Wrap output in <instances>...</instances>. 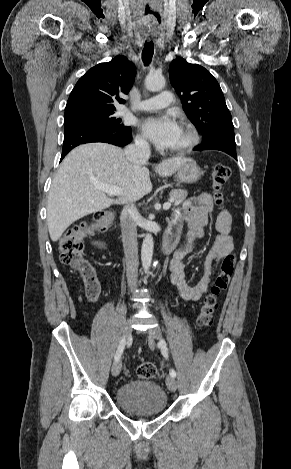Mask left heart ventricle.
<instances>
[{
  "label": "left heart ventricle",
  "instance_id": "1",
  "mask_svg": "<svg viewBox=\"0 0 291 469\" xmlns=\"http://www.w3.org/2000/svg\"><path fill=\"white\" fill-rule=\"evenodd\" d=\"M187 141H188V133L184 129L180 128L178 137H177L174 145L171 148H177L179 146H182Z\"/></svg>",
  "mask_w": 291,
  "mask_h": 469
}]
</instances>
